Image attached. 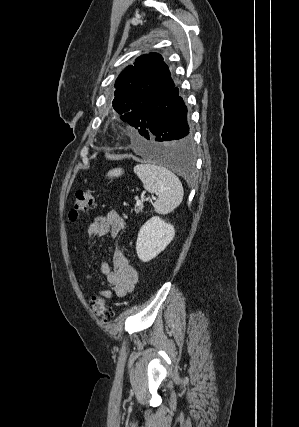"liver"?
Wrapping results in <instances>:
<instances>
[{
    "label": "liver",
    "instance_id": "1",
    "mask_svg": "<svg viewBox=\"0 0 299 427\" xmlns=\"http://www.w3.org/2000/svg\"><path fill=\"white\" fill-rule=\"evenodd\" d=\"M122 174L121 169H113L108 173V176H119Z\"/></svg>",
    "mask_w": 299,
    "mask_h": 427
}]
</instances>
